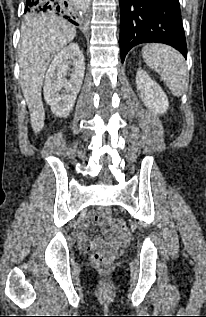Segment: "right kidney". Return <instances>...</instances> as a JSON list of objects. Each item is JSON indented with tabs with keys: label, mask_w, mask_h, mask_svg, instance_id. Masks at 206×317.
<instances>
[{
	"label": "right kidney",
	"mask_w": 206,
	"mask_h": 317,
	"mask_svg": "<svg viewBox=\"0 0 206 317\" xmlns=\"http://www.w3.org/2000/svg\"><path fill=\"white\" fill-rule=\"evenodd\" d=\"M69 64L73 68H69ZM71 71L70 79L65 77ZM84 56L77 43H71L54 58L46 73L44 98L52 112L67 117L72 110L84 78ZM64 88L65 90H62Z\"/></svg>",
	"instance_id": "1"
}]
</instances>
